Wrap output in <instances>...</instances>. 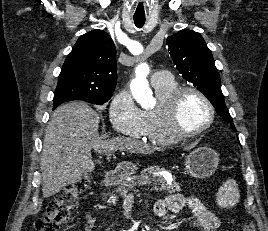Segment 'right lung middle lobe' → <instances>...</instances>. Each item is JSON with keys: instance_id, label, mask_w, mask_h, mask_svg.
Wrapping results in <instances>:
<instances>
[{"instance_id": "right-lung-middle-lobe-1", "label": "right lung middle lobe", "mask_w": 268, "mask_h": 231, "mask_svg": "<svg viewBox=\"0 0 268 231\" xmlns=\"http://www.w3.org/2000/svg\"><path fill=\"white\" fill-rule=\"evenodd\" d=\"M61 97H62V93H56L55 92V94H54V107H53V109L56 108L58 105L61 104V103H59V104H56L55 103L56 101L61 100L62 99ZM109 99H110V97L109 98H100V99H91V100H85V101L90 102V103H93V104L102 105L105 102H107Z\"/></svg>"}]
</instances>
